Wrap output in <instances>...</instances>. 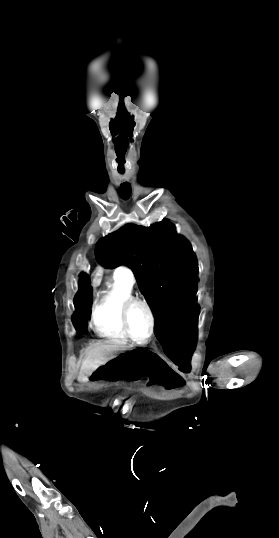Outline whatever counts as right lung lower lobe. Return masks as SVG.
I'll return each instance as SVG.
<instances>
[{"label":"right lung lower lobe","instance_id":"98d812e1","mask_svg":"<svg viewBox=\"0 0 279 538\" xmlns=\"http://www.w3.org/2000/svg\"><path fill=\"white\" fill-rule=\"evenodd\" d=\"M93 298V290L90 279L86 274L81 275L79 291L74 298L76 312L73 317V324L77 331H86L87 309Z\"/></svg>","mask_w":279,"mask_h":538}]
</instances>
